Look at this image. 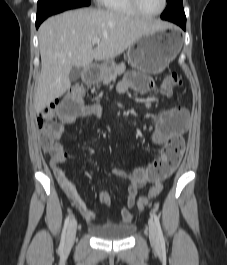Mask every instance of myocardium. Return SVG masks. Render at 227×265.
<instances>
[{
  "mask_svg": "<svg viewBox=\"0 0 227 265\" xmlns=\"http://www.w3.org/2000/svg\"><path fill=\"white\" fill-rule=\"evenodd\" d=\"M133 8L136 10V12L143 16V17H147V18H153V17H156L158 15H160L166 8L167 6V0H162V6L160 8L159 11H157L156 13H153V14H148V13H145L141 7H140V4H139V0H130Z\"/></svg>",
  "mask_w": 227,
  "mask_h": 265,
  "instance_id": "1",
  "label": "myocardium"
}]
</instances>
